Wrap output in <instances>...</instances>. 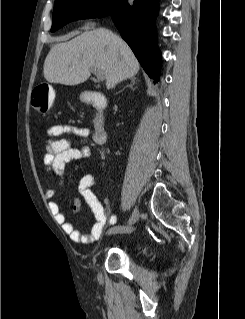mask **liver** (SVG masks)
Instances as JSON below:
<instances>
[{
    "label": "liver",
    "instance_id": "6515ba94",
    "mask_svg": "<svg viewBox=\"0 0 245 319\" xmlns=\"http://www.w3.org/2000/svg\"><path fill=\"white\" fill-rule=\"evenodd\" d=\"M140 65L127 43L106 28L86 31L52 46L44 62L50 83L74 86L85 82L92 69L104 72L107 89L135 76Z\"/></svg>",
    "mask_w": 245,
    "mask_h": 319
}]
</instances>
